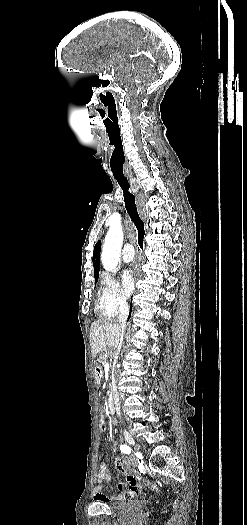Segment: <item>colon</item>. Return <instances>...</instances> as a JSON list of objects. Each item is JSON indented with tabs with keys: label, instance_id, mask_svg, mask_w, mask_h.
<instances>
[{
	"label": "colon",
	"instance_id": "obj_1",
	"mask_svg": "<svg viewBox=\"0 0 247 525\" xmlns=\"http://www.w3.org/2000/svg\"><path fill=\"white\" fill-rule=\"evenodd\" d=\"M97 425L100 427V430H101L102 432H105V431L107 430V427H106V425H107V420H106L105 418H99V419L97 420Z\"/></svg>",
	"mask_w": 247,
	"mask_h": 525
}]
</instances>
